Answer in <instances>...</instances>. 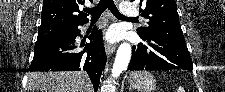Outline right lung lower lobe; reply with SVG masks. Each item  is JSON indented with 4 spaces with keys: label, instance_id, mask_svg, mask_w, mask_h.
I'll use <instances>...</instances> for the list:
<instances>
[{
    "label": "right lung lower lobe",
    "instance_id": "right-lung-lower-lobe-1",
    "mask_svg": "<svg viewBox=\"0 0 225 92\" xmlns=\"http://www.w3.org/2000/svg\"><path fill=\"white\" fill-rule=\"evenodd\" d=\"M80 35L78 26L64 39L35 44L34 58L28 71H77L88 73L95 92L106 64V53L102 32L94 27L89 36L90 43L78 52L76 36ZM81 36V35H80Z\"/></svg>",
    "mask_w": 225,
    "mask_h": 92
}]
</instances>
